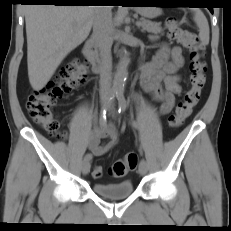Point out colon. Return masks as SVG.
Wrapping results in <instances>:
<instances>
[{"label": "colon", "instance_id": "obj_1", "mask_svg": "<svg viewBox=\"0 0 231 231\" xmlns=\"http://www.w3.org/2000/svg\"><path fill=\"white\" fill-rule=\"evenodd\" d=\"M165 27L169 38L178 41L189 51L190 88L177 104L168 121L172 128H178L191 114L201 98V92L206 83L205 47L199 41L198 36L185 29L177 19L168 18ZM87 78L88 68L84 62L79 60L69 62L45 88L29 95L26 104L29 116L40 124L51 137L63 138L65 133L60 129V123L54 116L53 108L59 99L74 88L84 84ZM137 164V154L130 152L122 159L115 161L109 167L108 172L113 177H122L129 171L136 169ZM102 174L101 166L93 168V178L98 179Z\"/></svg>", "mask_w": 231, "mask_h": 231}]
</instances>
